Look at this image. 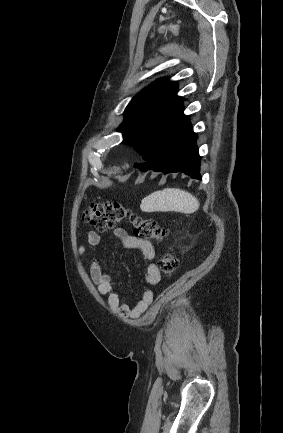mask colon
I'll return each instance as SVG.
<instances>
[{
    "label": "colon",
    "mask_w": 283,
    "mask_h": 433,
    "mask_svg": "<svg viewBox=\"0 0 283 433\" xmlns=\"http://www.w3.org/2000/svg\"><path fill=\"white\" fill-rule=\"evenodd\" d=\"M83 221L98 231H105L127 221L132 225L135 238L164 240L168 230L155 220L142 217L116 201L92 203L82 214ZM178 268L177 256L167 250L159 260V269L165 276L173 275Z\"/></svg>",
    "instance_id": "obj_1"
}]
</instances>
